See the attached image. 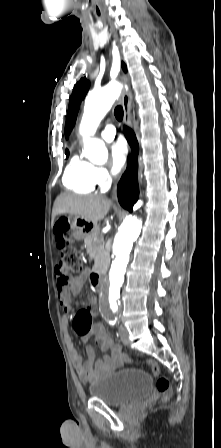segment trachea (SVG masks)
<instances>
[{"label":"trachea","instance_id":"3493384b","mask_svg":"<svg viewBox=\"0 0 221 448\" xmlns=\"http://www.w3.org/2000/svg\"><path fill=\"white\" fill-rule=\"evenodd\" d=\"M123 114L124 112L122 106L120 105L116 106L114 110V115L118 121H121L123 119Z\"/></svg>","mask_w":221,"mask_h":448}]
</instances>
